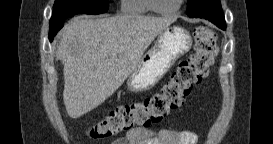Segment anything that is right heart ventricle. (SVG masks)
Returning <instances> with one entry per match:
<instances>
[{
    "label": "right heart ventricle",
    "instance_id": "1",
    "mask_svg": "<svg viewBox=\"0 0 273 144\" xmlns=\"http://www.w3.org/2000/svg\"><path fill=\"white\" fill-rule=\"evenodd\" d=\"M122 12L129 16H143L150 11L148 0H123Z\"/></svg>",
    "mask_w": 273,
    "mask_h": 144
}]
</instances>
